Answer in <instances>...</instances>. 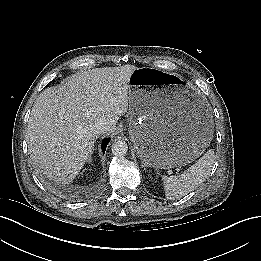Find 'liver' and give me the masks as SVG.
<instances>
[{"mask_svg": "<svg viewBox=\"0 0 261 261\" xmlns=\"http://www.w3.org/2000/svg\"><path fill=\"white\" fill-rule=\"evenodd\" d=\"M134 65L95 68L73 74L41 92L28 121L27 143L33 164L56 183L69 184L90 160L98 138L91 126L116 129L128 110Z\"/></svg>", "mask_w": 261, "mask_h": 261, "instance_id": "6515ba94", "label": "liver"}]
</instances>
